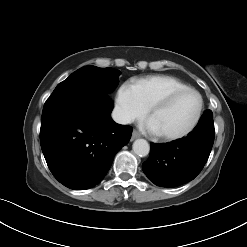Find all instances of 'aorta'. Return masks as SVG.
Listing matches in <instances>:
<instances>
[{
  "mask_svg": "<svg viewBox=\"0 0 247 247\" xmlns=\"http://www.w3.org/2000/svg\"><path fill=\"white\" fill-rule=\"evenodd\" d=\"M133 151L140 157H145L149 154L150 146L145 139H137L133 143Z\"/></svg>",
  "mask_w": 247,
  "mask_h": 247,
  "instance_id": "aorta-1",
  "label": "aorta"
}]
</instances>
